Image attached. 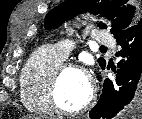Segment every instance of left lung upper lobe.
<instances>
[{"mask_svg": "<svg viewBox=\"0 0 142 119\" xmlns=\"http://www.w3.org/2000/svg\"><path fill=\"white\" fill-rule=\"evenodd\" d=\"M85 11L110 19L113 22L111 33L114 36L121 34L142 19L138 6L132 4L131 0H66L47 14L45 27L46 29L57 27L65 20ZM98 26L101 29L107 27L101 22ZM105 62L103 58L98 59L102 69L105 68Z\"/></svg>", "mask_w": 142, "mask_h": 119, "instance_id": "1", "label": "left lung upper lobe"}]
</instances>
